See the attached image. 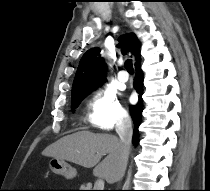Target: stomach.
<instances>
[{
  "label": "stomach",
  "mask_w": 210,
  "mask_h": 191,
  "mask_svg": "<svg viewBox=\"0 0 210 191\" xmlns=\"http://www.w3.org/2000/svg\"><path fill=\"white\" fill-rule=\"evenodd\" d=\"M49 167L54 173L62 175L66 179H73L77 174L76 169L65 162V160L52 158L49 161Z\"/></svg>",
  "instance_id": "obj_1"
}]
</instances>
